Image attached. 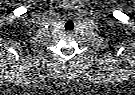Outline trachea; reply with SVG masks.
Here are the masks:
<instances>
[{
  "mask_svg": "<svg viewBox=\"0 0 135 95\" xmlns=\"http://www.w3.org/2000/svg\"><path fill=\"white\" fill-rule=\"evenodd\" d=\"M65 28L67 30H73L74 29V23L71 21V20H68L66 23H65Z\"/></svg>",
  "mask_w": 135,
  "mask_h": 95,
  "instance_id": "3493384b",
  "label": "trachea"
}]
</instances>
